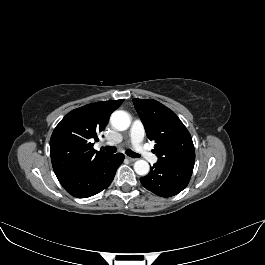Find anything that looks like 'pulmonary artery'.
Instances as JSON below:
<instances>
[{
	"label": "pulmonary artery",
	"mask_w": 265,
	"mask_h": 265,
	"mask_svg": "<svg viewBox=\"0 0 265 265\" xmlns=\"http://www.w3.org/2000/svg\"><path fill=\"white\" fill-rule=\"evenodd\" d=\"M144 135L145 130L142 123L139 120H134L129 132V139L133 148L149 162L156 163L158 157L148 151L142 143Z\"/></svg>",
	"instance_id": "obj_1"
}]
</instances>
